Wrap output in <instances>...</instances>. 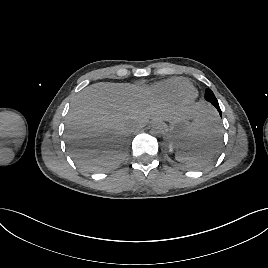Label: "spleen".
I'll list each match as a JSON object with an SVG mask.
<instances>
[{"label":"spleen","mask_w":268,"mask_h":268,"mask_svg":"<svg viewBox=\"0 0 268 268\" xmlns=\"http://www.w3.org/2000/svg\"><path fill=\"white\" fill-rule=\"evenodd\" d=\"M221 124L214 112L194 122L190 142L179 147L175 158L191 166H200L214 157L219 148Z\"/></svg>","instance_id":"obj_1"}]
</instances>
